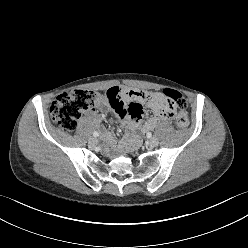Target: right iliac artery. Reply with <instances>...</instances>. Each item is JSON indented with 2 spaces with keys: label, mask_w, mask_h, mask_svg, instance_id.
Masks as SVG:
<instances>
[{
  "label": "right iliac artery",
  "mask_w": 248,
  "mask_h": 248,
  "mask_svg": "<svg viewBox=\"0 0 248 248\" xmlns=\"http://www.w3.org/2000/svg\"><path fill=\"white\" fill-rule=\"evenodd\" d=\"M93 135H94L95 137H98V136H99V133L96 132V131H94V132H93Z\"/></svg>",
  "instance_id": "obj_1"
}]
</instances>
